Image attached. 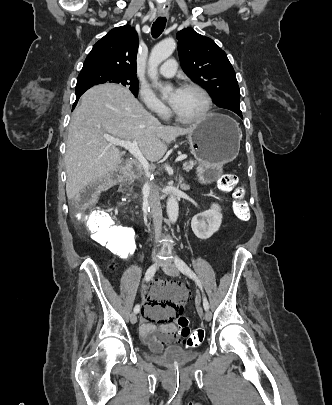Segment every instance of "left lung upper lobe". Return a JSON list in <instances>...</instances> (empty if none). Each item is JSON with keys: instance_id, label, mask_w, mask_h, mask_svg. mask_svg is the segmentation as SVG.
Instances as JSON below:
<instances>
[{"instance_id": "left-lung-upper-lobe-1", "label": "left lung upper lobe", "mask_w": 332, "mask_h": 405, "mask_svg": "<svg viewBox=\"0 0 332 405\" xmlns=\"http://www.w3.org/2000/svg\"><path fill=\"white\" fill-rule=\"evenodd\" d=\"M178 53L183 71L205 88L216 105L235 111L240 90L226 53L210 38L186 28L177 33Z\"/></svg>"}]
</instances>
